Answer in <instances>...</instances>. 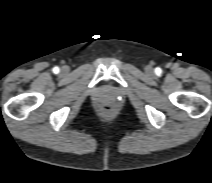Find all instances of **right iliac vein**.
Masks as SVG:
<instances>
[{"label": "right iliac vein", "instance_id": "obj_1", "mask_svg": "<svg viewBox=\"0 0 212 183\" xmlns=\"http://www.w3.org/2000/svg\"><path fill=\"white\" fill-rule=\"evenodd\" d=\"M67 71H68L67 67H62V69H61L62 73H67Z\"/></svg>", "mask_w": 212, "mask_h": 183}]
</instances>
